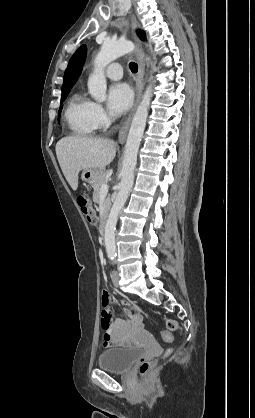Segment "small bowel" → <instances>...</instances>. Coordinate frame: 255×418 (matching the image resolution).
Here are the masks:
<instances>
[{"label": "small bowel", "instance_id": "small-bowel-1", "mask_svg": "<svg viewBox=\"0 0 255 418\" xmlns=\"http://www.w3.org/2000/svg\"><path fill=\"white\" fill-rule=\"evenodd\" d=\"M101 301L105 307L108 303V293L102 292ZM128 306L127 302L123 303ZM128 319L116 318L111 322L110 312L104 308L101 314V326L104 331L105 346H130L136 339H144L147 333L143 329V317L136 308H127Z\"/></svg>", "mask_w": 255, "mask_h": 418}]
</instances>
